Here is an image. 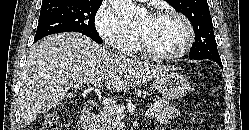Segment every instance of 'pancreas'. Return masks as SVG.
Instances as JSON below:
<instances>
[{"label":"pancreas","instance_id":"1","mask_svg":"<svg viewBox=\"0 0 249 130\" xmlns=\"http://www.w3.org/2000/svg\"><path fill=\"white\" fill-rule=\"evenodd\" d=\"M120 107L124 109V106ZM149 108L153 109V117L160 124H168L170 120L175 119L180 114L179 110L174 105L169 104L168 100L159 97H157V103L151 104ZM121 127V119L104 108L101 112L99 130H120Z\"/></svg>","mask_w":249,"mask_h":130}]
</instances>
